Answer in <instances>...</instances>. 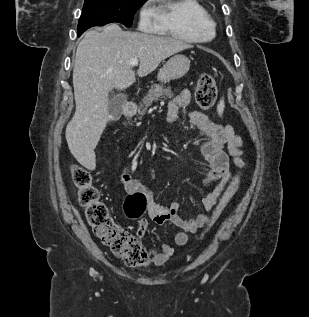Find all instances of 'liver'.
I'll return each mask as SVG.
<instances>
[{"mask_svg": "<svg viewBox=\"0 0 309 317\" xmlns=\"http://www.w3.org/2000/svg\"><path fill=\"white\" fill-rule=\"evenodd\" d=\"M192 48L181 40L123 31L117 24L88 31L76 50L73 87L76 111L66 127V140L75 159L85 168L96 167L95 148L109 120V93L131 86L137 74L144 77L171 55Z\"/></svg>", "mask_w": 309, "mask_h": 317, "instance_id": "1", "label": "liver"}]
</instances>
